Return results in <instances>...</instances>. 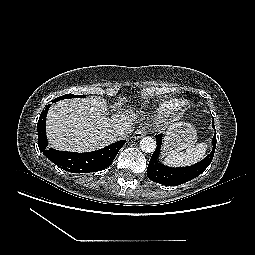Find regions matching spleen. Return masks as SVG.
<instances>
[{"mask_svg":"<svg viewBox=\"0 0 255 255\" xmlns=\"http://www.w3.org/2000/svg\"><path fill=\"white\" fill-rule=\"evenodd\" d=\"M207 150L206 143H200L196 146L186 149L185 152L164 154L166 155L164 163L170 166H186L201 160Z\"/></svg>","mask_w":255,"mask_h":255,"instance_id":"1","label":"spleen"}]
</instances>
